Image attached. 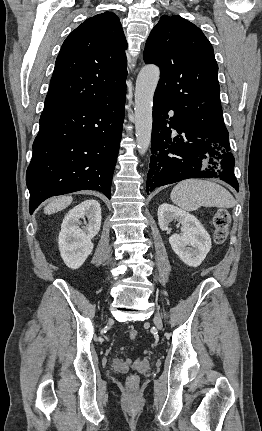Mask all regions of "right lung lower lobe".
<instances>
[{"label":"right lung lower lobe","mask_w":262,"mask_h":431,"mask_svg":"<svg viewBox=\"0 0 262 431\" xmlns=\"http://www.w3.org/2000/svg\"><path fill=\"white\" fill-rule=\"evenodd\" d=\"M125 95L95 105L44 107L26 173L30 214L51 196L79 190L111 198Z\"/></svg>","instance_id":"1"}]
</instances>
